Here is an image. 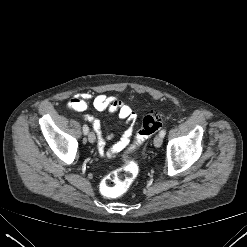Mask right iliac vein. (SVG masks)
<instances>
[{"instance_id":"obj_1","label":"right iliac vein","mask_w":247,"mask_h":247,"mask_svg":"<svg viewBox=\"0 0 247 247\" xmlns=\"http://www.w3.org/2000/svg\"><path fill=\"white\" fill-rule=\"evenodd\" d=\"M88 140H89L90 143H94L95 142L96 136H95L94 132L91 131V132L88 133Z\"/></svg>"}]
</instances>
